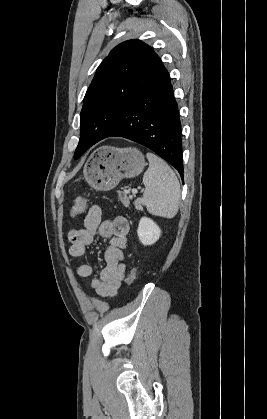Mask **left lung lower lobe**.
I'll use <instances>...</instances> for the list:
<instances>
[{
    "instance_id": "1",
    "label": "left lung lower lobe",
    "mask_w": 267,
    "mask_h": 419,
    "mask_svg": "<svg viewBox=\"0 0 267 419\" xmlns=\"http://www.w3.org/2000/svg\"><path fill=\"white\" fill-rule=\"evenodd\" d=\"M98 128L89 148L108 137L127 138L154 151L183 178L181 122L164 66L125 111L111 114Z\"/></svg>"
}]
</instances>
